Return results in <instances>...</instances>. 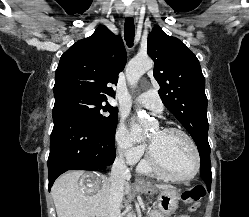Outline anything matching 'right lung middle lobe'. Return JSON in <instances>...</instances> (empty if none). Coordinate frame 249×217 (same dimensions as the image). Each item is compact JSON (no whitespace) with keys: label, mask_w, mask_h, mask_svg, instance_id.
Masks as SVG:
<instances>
[{"label":"right lung middle lobe","mask_w":249,"mask_h":217,"mask_svg":"<svg viewBox=\"0 0 249 217\" xmlns=\"http://www.w3.org/2000/svg\"><path fill=\"white\" fill-rule=\"evenodd\" d=\"M106 102V104H102ZM55 108L67 109L93 130L106 135L115 134L118 110L107 100L97 99L80 92H64L55 95Z\"/></svg>","instance_id":"1"}]
</instances>
